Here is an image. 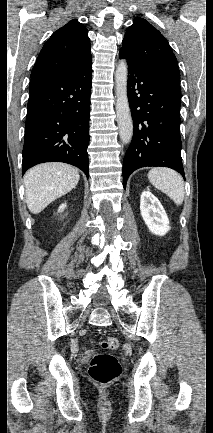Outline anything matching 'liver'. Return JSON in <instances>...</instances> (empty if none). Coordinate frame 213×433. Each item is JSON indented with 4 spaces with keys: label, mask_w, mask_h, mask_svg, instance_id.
<instances>
[{
    "label": "liver",
    "mask_w": 213,
    "mask_h": 433,
    "mask_svg": "<svg viewBox=\"0 0 213 433\" xmlns=\"http://www.w3.org/2000/svg\"><path fill=\"white\" fill-rule=\"evenodd\" d=\"M79 178L77 169L65 163H44L32 167L24 175L28 209L33 214L40 213L51 202L75 188Z\"/></svg>",
    "instance_id": "liver-1"
}]
</instances>
